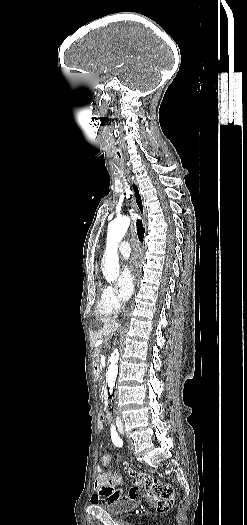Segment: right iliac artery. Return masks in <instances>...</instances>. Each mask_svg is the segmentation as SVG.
Listing matches in <instances>:
<instances>
[{
	"instance_id": "82829eb1",
	"label": "right iliac artery",
	"mask_w": 247,
	"mask_h": 525,
	"mask_svg": "<svg viewBox=\"0 0 247 525\" xmlns=\"http://www.w3.org/2000/svg\"><path fill=\"white\" fill-rule=\"evenodd\" d=\"M111 439L117 447H122L123 442L122 439L119 437L115 426L111 427Z\"/></svg>"
}]
</instances>
